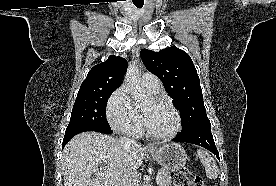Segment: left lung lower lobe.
I'll return each mask as SVG.
<instances>
[{
    "mask_svg": "<svg viewBox=\"0 0 276 186\" xmlns=\"http://www.w3.org/2000/svg\"><path fill=\"white\" fill-rule=\"evenodd\" d=\"M176 142H187L202 146L213 154L219 159V153L215 146L213 135L211 133V126L209 127H200L197 128L189 133L178 135L176 138L173 139Z\"/></svg>",
    "mask_w": 276,
    "mask_h": 186,
    "instance_id": "0a47b994",
    "label": "left lung lower lobe"
}]
</instances>
